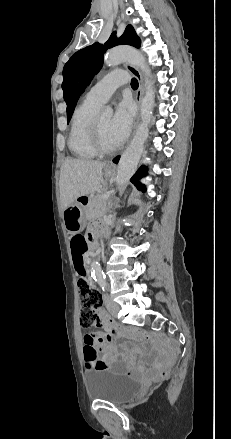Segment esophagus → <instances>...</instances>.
Returning <instances> with one entry per match:
<instances>
[{
  "label": "esophagus",
  "instance_id": "esophagus-1",
  "mask_svg": "<svg viewBox=\"0 0 231 439\" xmlns=\"http://www.w3.org/2000/svg\"><path fill=\"white\" fill-rule=\"evenodd\" d=\"M126 69L133 74L136 79L138 80L139 86L136 92V102L138 104V107L140 109L141 107V101H142V97H143V77L141 72L133 65L131 64H126ZM110 167H114V165L112 163L109 164Z\"/></svg>",
  "mask_w": 231,
  "mask_h": 439
}]
</instances>
